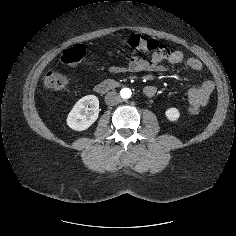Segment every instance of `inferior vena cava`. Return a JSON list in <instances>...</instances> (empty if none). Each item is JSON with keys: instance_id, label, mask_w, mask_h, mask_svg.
<instances>
[{"instance_id": "inferior-vena-cava-1", "label": "inferior vena cava", "mask_w": 236, "mask_h": 236, "mask_svg": "<svg viewBox=\"0 0 236 236\" xmlns=\"http://www.w3.org/2000/svg\"><path fill=\"white\" fill-rule=\"evenodd\" d=\"M121 101L120 95L115 91H110L105 96V102L107 105L114 106Z\"/></svg>"}]
</instances>
